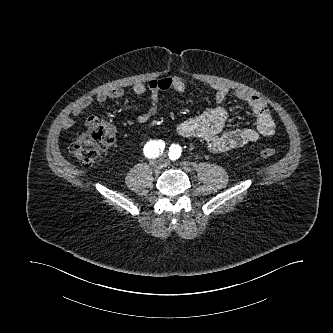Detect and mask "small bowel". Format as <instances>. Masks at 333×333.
<instances>
[{
  "label": "small bowel",
  "mask_w": 333,
  "mask_h": 333,
  "mask_svg": "<svg viewBox=\"0 0 333 333\" xmlns=\"http://www.w3.org/2000/svg\"><path fill=\"white\" fill-rule=\"evenodd\" d=\"M211 88L215 92V102L217 104H221L230 92L229 88L223 84H212ZM169 90L182 94L186 92L187 85L180 76H164L150 80L147 85L142 83L134 85L133 92L136 95L145 93L149 95L148 108L138 115L140 123H145L156 115L160 92ZM234 95L237 99L245 102L254 113L256 117L255 128L223 131L227 113L221 107H214L180 123L177 127L178 134L185 138H199L206 143L210 152L223 154L247 143L255 142L262 136H271L275 133V121L268 106L259 96L245 90H235ZM123 96L124 91L122 89L110 88L98 93L94 100L91 97H85L72 109V115L79 116L83 110L92 105L93 101L97 104H103L108 99H120ZM74 124V119L71 117H66L62 121V126L65 129L71 128ZM84 124L88 128L104 126L114 133L116 131L115 126L109 121L95 116L87 117Z\"/></svg>",
  "instance_id": "obj_1"
}]
</instances>
